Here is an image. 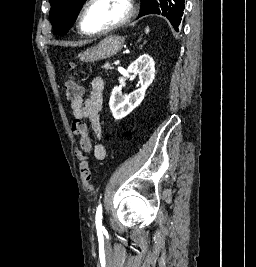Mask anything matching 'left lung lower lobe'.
<instances>
[{"label": "left lung lower lobe", "instance_id": "1", "mask_svg": "<svg viewBox=\"0 0 256 267\" xmlns=\"http://www.w3.org/2000/svg\"><path fill=\"white\" fill-rule=\"evenodd\" d=\"M174 9L175 16L171 24L173 25L174 29L178 31V26L180 24V20L184 10V0H174Z\"/></svg>", "mask_w": 256, "mask_h": 267}]
</instances>
